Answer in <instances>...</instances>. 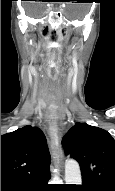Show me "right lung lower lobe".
<instances>
[{"mask_svg":"<svg viewBox=\"0 0 115 191\" xmlns=\"http://www.w3.org/2000/svg\"><path fill=\"white\" fill-rule=\"evenodd\" d=\"M50 175L21 184H1V191H48Z\"/></svg>","mask_w":115,"mask_h":191,"instance_id":"1","label":"right lung lower lobe"}]
</instances>
